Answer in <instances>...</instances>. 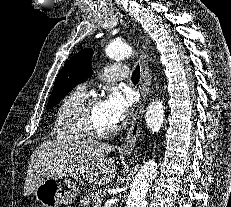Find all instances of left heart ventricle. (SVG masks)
Instances as JSON below:
<instances>
[{"label":"left heart ventricle","mask_w":231,"mask_h":207,"mask_svg":"<svg viewBox=\"0 0 231 207\" xmlns=\"http://www.w3.org/2000/svg\"><path fill=\"white\" fill-rule=\"evenodd\" d=\"M92 122L101 131L109 130L115 126L106 118L101 103H97L92 109Z\"/></svg>","instance_id":"left-heart-ventricle-1"}]
</instances>
